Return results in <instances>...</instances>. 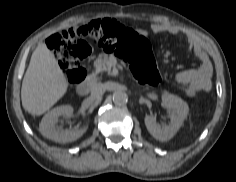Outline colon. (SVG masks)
Returning a JSON list of instances; mask_svg holds the SVG:
<instances>
[{
    "mask_svg": "<svg viewBox=\"0 0 236 182\" xmlns=\"http://www.w3.org/2000/svg\"><path fill=\"white\" fill-rule=\"evenodd\" d=\"M87 39L115 51L130 64L142 84L155 86L159 83L160 72L148 40L115 20L104 19L55 33L48 38V47L56 55L71 85L81 83L86 76L83 62L92 50Z\"/></svg>",
    "mask_w": 236,
    "mask_h": 182,
    "instance_id": "obj_1",
    "label": "colon"
}]
</instances>
